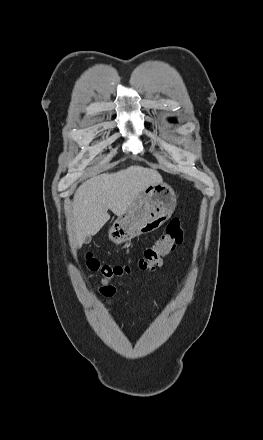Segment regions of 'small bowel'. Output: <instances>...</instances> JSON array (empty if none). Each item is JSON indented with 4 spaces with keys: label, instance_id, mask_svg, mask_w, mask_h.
I'll use <instances>...</instances> for the list:
<instances>
[{
    "label": "small bowel",
    "instance_id": "small-bowel-1",
    "mask_svg": "<svg viewBox=\"0 0 263 440\" xmlns=\"http://www.w3.org/2000/svg\"><path fill=\"white\" fill-rule=\"evenodd\" d=\"M101 293L106 297H111L114 294V288L111 286L102 287Z\"/></svg>",
    "mask_w": 263,
    "mask_h": 440
}]
</instances>
